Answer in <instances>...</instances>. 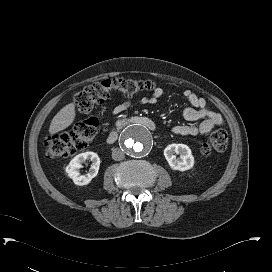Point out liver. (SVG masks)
<instances>
[{"instance_id": "liver-1", "label": "liver", "mask_w": 272, "mask_h": 272, "mask_svg": "<svg viewBox=\"0 0 272 272\" xmlns=\"http://www.w3.org/2000/svg\"><path fill=\"white\" fill-rule=\"evenodd\" d=\"M75 115V104H67L52 119L49 127V133L55 134L69 127L73 123Z\"/></svg>"}]
</instances>
